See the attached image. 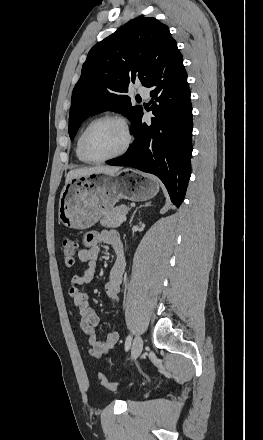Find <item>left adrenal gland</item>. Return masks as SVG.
Wrapping results in <instances>:
<instances>
[{
    "label": "left adrenal gland",
    "instance_id": "1",
    "mask_svg": "<svg viewBox=\"0 0 263 440\" xmlns=\"http://www.w3.org/2000/svg\"><path fill=\"white\" fill-rule=\"evenodd\" d=\"M148 206H151V202L146 203L145 205H140L139 207H137V208L135 209V211L133 212V214H132V216H131L130 222H129L130 225H131V223H132V221H133V218H134L136 212H137L140 208H142V207H148Z\"/></svg>",
    "mask_w": 263,
    "mask_h": 440
}]
</instances>
